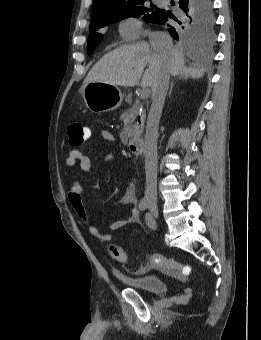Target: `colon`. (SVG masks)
I'll return each instance as SVG.
<instances>
[{
  "label": "colon",
  "mask_w": 261,
  "mask_h": 340,
  "mask_svg": "<svg viewBox=\"0 0 261 340\" xmlns=\"http://www.w3.org/2000/svg\"><path fill=\"white\" fill-rule=\"evenodd\" d=\"M86 127L80 122H72L68 129V139L71 146H80L86 141ZM111 256L121 263L128 262L127 254L117 245L110 246ZM146 267L155 268L167 273L174 274L180 278L187 279L193 277L192 268L175 259L165 257L160 254H146Z\"/></svg>",
  "instance_id": "5ec220e1"
}]
</instances>
